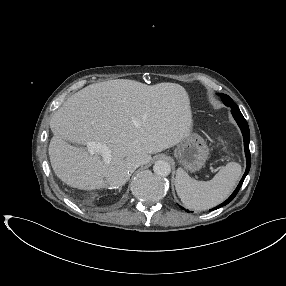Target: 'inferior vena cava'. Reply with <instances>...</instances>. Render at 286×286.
<instances>
[{"mask_svg":"<svg viewBox=\"0 0 286 286\" xmlns=\"http://www.w3.org/2000/svg\"><path fill=\"white\" fill-rule=\"evenodd\" d=\"M140 165H142V162L140 160L133 161L131 165V171H134L136 168H138Z\"/></svg>","mask_w":286,"mask_h":286,"instance_id":"obj_1","label":"inferior vena cava"}]
</instances>
